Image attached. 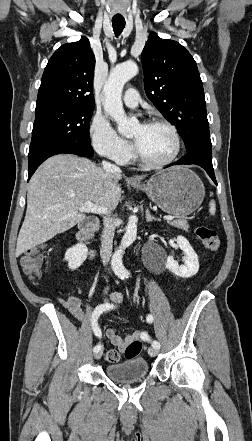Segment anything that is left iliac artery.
I'll use <instances>...</instances> for the list:
<instances>
[{"instance_id":"left-iliac-artery-1","label":"left iliac artery","mask_w":252,"mask_h":441,"mask_svg":"<svg viewBox=\"0 0 252 441\" xmlns=\"http://www.w3.org/2000/svg\"><path fill=\"white\" fill-rule=\"evenodd\" d=\"M146 320L148 323H152L154 318L151 314H148L146 317ZM149 336H150V333L145 328H142L140 330V340L141 341H151ZM151 344H152V347H154L156 349L160 348V343L156 340L152 341Z\"/></svg>"}]
</instances>
